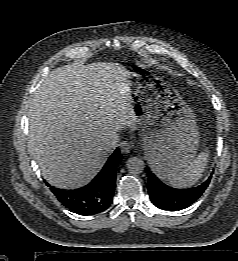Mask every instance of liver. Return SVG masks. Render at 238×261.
<instances>
[{"label": "liver", "instance_id": "obj_1", "mask_svg": "<svg viewBox=\"0 0 238 261\" xmlns=\"http://www.w3.org/2000/svg\"><path fill=\"white\" fill-rule=\"evenodd\" d=\"M128 76L118 63L97 62L57 68L42 81L28 111V151L49 184L89 183L111 153L106 137L140 123Z\"/></svg>", "mask_w": 238, "mask_h": 261}]
</instances>
